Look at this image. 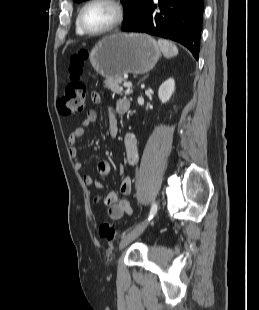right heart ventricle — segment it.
<instances>
[{"label":"right heart ventricle","mask_w":259,"mask_h":310,"mask_svg":"<svg viewBox=\"0 0 259 310\" xmlns=\"http://www.w3.org/2000/svg\"><path fill=\"white\" fill-rule=\"evenodd\" d=\"M76 33L80 36L85 35V33L80 29L77 21H76Z\"/></svg>","instance_id":"right-heart-ventricle-1"}]
</instances>
